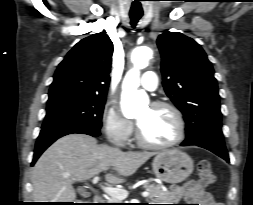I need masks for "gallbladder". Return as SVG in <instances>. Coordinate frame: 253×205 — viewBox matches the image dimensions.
Segmentation results:
<instances>
[{"label": "gallbladder", "instance_id": "bac80fb5", "mask_svg": "<svg viewBox=\"0 0 253 205\" xmlns=\"http://www.w3.org/2000/svg\"><path fill=\"white\" fill-rule=\"evenodd\" d=\"M80 194L83 195V196H88L89 193L85 192V191H80Z\"/></svg>", "mask_w": 253, "mask_h": 205}]
</instances>
